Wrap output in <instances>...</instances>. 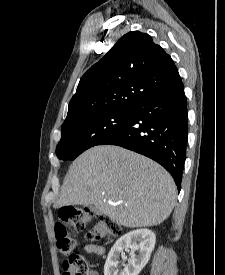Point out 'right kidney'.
I'll return each instance as SVG.
<instances>
[{"mask_svg":"<svg viewBox=\"0 0 225 275\" xmlns=\"http://www.w3.org/2000/svg\"><path fill=\"white\" fill-rule=\"evenodd\" d=\"M156 237L149 229H137L120 237L111 248L105 266L104 275H138L148 263L154 249ZM131 250L127 265L118 268L120 255L123 250ZM138 250V255L135 251Z\"/></svg>","mask_w":225,"mask_h":275,"instance_id":"right-kidney-1","label":"right kidney"}]
</instances>
